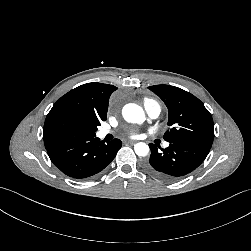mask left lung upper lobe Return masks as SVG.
<instances>
[{
	"label": "left lung upper lobe",
	"instance_id": "5c2ea615",
	"mask_svg": "<svg viewBox=\"0 0 251 251\" xmlns=\"http://www.w3.org/2000/svg\"><path fill=\"white\" fill-rule=\"evenodd\" d=\"M166 104L169 112L165 132L168 142H191L211 148L214 138V124L204 104L185 90L170 85L148 87Z\"/></svg>",
	"mask_w": 251,
	"mask_h": 251
}]
</instances>
